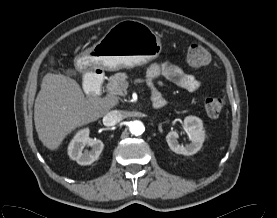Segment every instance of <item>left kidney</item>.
I'll return each mask as SVG.
<instances>
[{"instance_id":"obj_1","label":"left kidney","mask_w":277,"mask_h":218,"mask_svg":"<svg viewBox=\"0 0 277 218\" xmlns=\"http://www.w3.org/2000/svg\"><path fill=\"white\" fill-rule=\"evenodd\" d=\"M184 128L191 141L188 145H180L178 142V132L171 131L166 136V141L170 149L177 153L185 156L193 155L197 153L204 142L205 131L203 129V122L200 118L196 116H187L184 119Z\"/></svg>"}]
</instances>
